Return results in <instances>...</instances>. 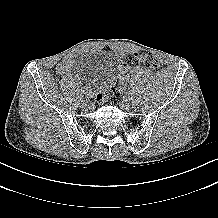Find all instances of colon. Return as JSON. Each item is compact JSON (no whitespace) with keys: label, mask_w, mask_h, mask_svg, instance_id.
<instances>
[{"label":"colon","mask_w":218,"mask_h":218,"mask_svg":"<svg viewBox=\"0 0 218 218\" xmlns=\"http://www.w3.org/2000/svg\"><path fill=\"white\" fill-rule=\"evenodd\" d=\"M144 65L150 70H157L161 63L159 59L152 53L140 54V53H130L125 57L122 65L115 71V75L118 76L122 74L129 67H137ZM114 87L108 85L97 92L96 101L99 104H105L114 94Z\"/></svg>","instance_id":"colon-1"}]
</instances>
